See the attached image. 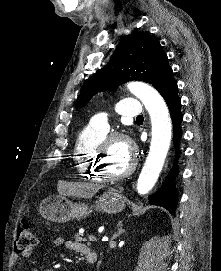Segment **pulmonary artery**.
Returning <instances> with one entry per match:
<instances>
[{"label": "pulmonary artery", "instance_id": "pulmonary-artery-1", "mask_svg": "<svg viewBox=\"0 0 221 271\" xmlns=\"http://www.w3.org/2000/svg\"><path fill=\"white\" fill-rule=\"evenodd\" d=\"M110 111V108H107ZM142 102H136V98H124L119 102L117 112L121 117H138V112H143ZM109 122H116V117H108V112H97V117H91L87 127H109ZM79 138H98V133H109V128H80Z\"/></svg>", "mask_w": 221, "mask_h": 271}]
</instances>
